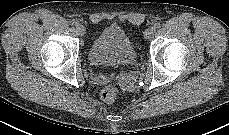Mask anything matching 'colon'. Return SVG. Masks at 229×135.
Here are the masks:
<instances>
[{
    "label": "colon",
    "mask_w": 229,
    "mask_h": 135,
    "mask_svg": "<svg viewBox=\"0 0 229 135\" xmlns=\"http://www.w3.org/2000/svg\"><path fill=\"white\" fill-rule=\"evenodd\" d=\"M118 90L115 86L104 87L100 92V98L105 103H112L117 97Z\"/></svg>",
    "instance_id": "1"
}]
</instances>
